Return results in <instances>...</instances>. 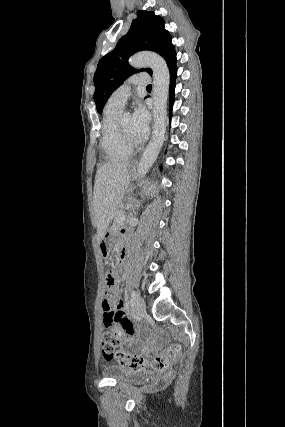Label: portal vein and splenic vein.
<instances>
[{
  "label": "portal vein and splenic vein",
  "mask_w": 285,
  "mask_h": 427,
  "mask_svg": "<svg viewBox=\"0 0 285 427\" xmlns=\"http://www.w3.org/2000/svg\"><path fill=\"white\" fill-rule=\"evenodd\" d=\"M125 218H126L125 214H122V215L120 216V221L125 220Z\"/></svg>",
  "instance_id": "18ae733b"
}]
</instances>
